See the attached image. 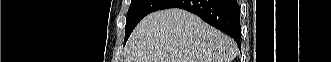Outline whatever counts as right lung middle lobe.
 <instances>
[{
    "label": "right lung middle lobe",
    "mask_w": 331,
    "mask_h": 62,
    "mask_svg": "<svg viewBox=\"0 0 331 62\" xmlns=\"http://www.w3.org/2000/svg\"><path fill=\"white\" fill-rule=\"evenodd\" d=\"M171 0H132L127 13L125 40L127 41L135 26L151 12L161 10Z\"/></svg>",
    "instance_id": "dd1d6c3e"
}]
</instances>
